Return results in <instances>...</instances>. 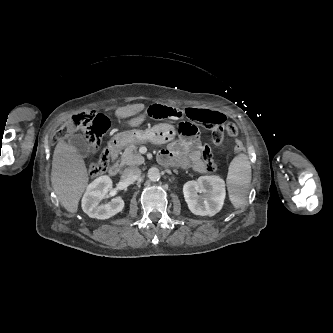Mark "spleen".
Here are the masks:
<instances>
[{
  "mask_svg": "<svg viewBox=\"0 0 333 333\" xmlns=\"http://www.w3.org/2000/svg\"><path fill=\"white\" fill-rule=\"evenodd\" d=\"M251 182V164L246 154L237 155L230 163L227 189L230 201L237 209L246 201Z\"/></svg>",
  "mask_w": 333,
  "mask_h": 333,
  "instance_id": "3e777b00",
  "label": "spleen"
}]
</instances>
